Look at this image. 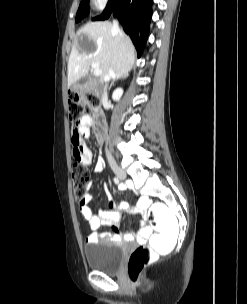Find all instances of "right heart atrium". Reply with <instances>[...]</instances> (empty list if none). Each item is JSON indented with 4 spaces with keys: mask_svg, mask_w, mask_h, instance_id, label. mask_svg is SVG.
<instances>
[{
    "mask_svg": "<svg viewBox=\"0 0 247 304\" xmlns=\"http://www.w3.org/2000/svg\"><path fill=\"white\" fill-rule=\"evenodd\" d=\"M93 5L98 9H103L109 0H91Z\"/></svg>",
    "mask_w": 247,
    "mask_h": 304,
    "instance_id": "d8ad5b80",
    "label": "right heart atrium"
}]
</instances>
